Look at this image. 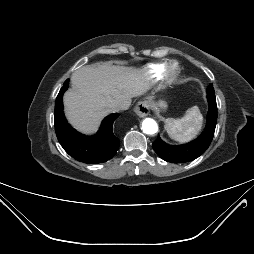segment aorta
<instances>
[{
    "label": "aorta",
    "instance_id": "aorta-1",
    "mask_svg": "<svg viewBox=\"0 0 254 254\" xmlns=\"http://www.w3.org/2000/svg\"><path fill=\"white\" fill-rule=\"evenodd\" d=\"M142 130L148 135H153L158 131V125L155 120L146 118L142 122Z\"/></svg>",
    "mask_w": 254,
    "mask_h": 254
}]
</instances>
